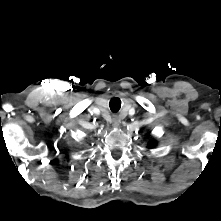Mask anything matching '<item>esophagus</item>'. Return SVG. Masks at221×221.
<instances>
[{"label":"esophagus","instance_id":"34e87169","mask_svg":"<svg viewBox=\"0 0 221 221\" xmlns=\"http://www.w3.org/2000/svg\"><path fill=\"white\" fill-rule=\"evenodd\" d=\"M119 124H120V119H119L118 116H115L113 118L112 125H113L114 128H117L119 126Z\"/></svg>","mask_w":221,"mask_h":221}]
</instances>
